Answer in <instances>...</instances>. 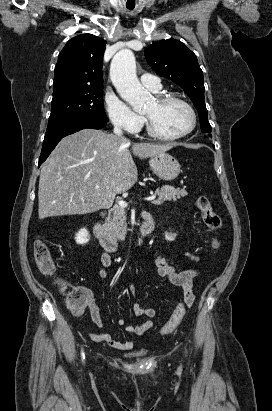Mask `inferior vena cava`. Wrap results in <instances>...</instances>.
<instances>
[{"label": "inferior vena cava", "instance_id": "obj_1", "mask_svg": "<svg viewBox=\"0 0 272 411\" xmlns=\"http://www.w3.org/2000/svg\"><path fill=\"white\" fill-rule=\"evenodd\" d=\"M114 133H115L117 136H121V135H122V130H121V126H120V125H118V124H115V125H114Z\"/></svg>", "mask_w": 272, "mask_h": 411}]
</instances>
